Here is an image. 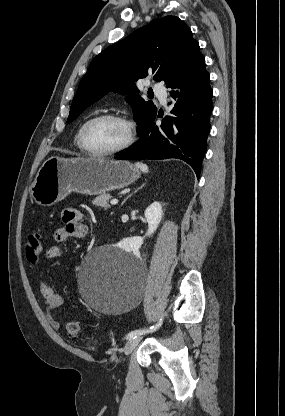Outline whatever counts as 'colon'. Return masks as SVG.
<instances>
[{"instance_id":"1","label":"colon","mask_w":285,"mask_h":416,"mask_svg":"<svg viewBox=\"0 0 285 416\" xmlns=\"http://www.w3.org/2000/svg\"><path fill=\"white\" fill-rule=\"evenodd\" d=\"M25 253L29 262L38 261L42 253V244L37 235L31 234L25 240ZM67 334L74 341L82 340V330L78 322L70 321L66 325Z\"/></svg>"}]
</instances>
